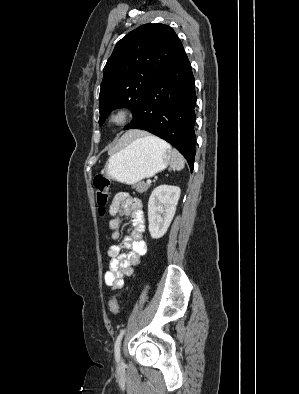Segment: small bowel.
Instances as JSON below:
<instances>
[{"label": "small bowel", "instance_id": "obj_1", "mask_svg": "<svg viewBox=\"0 0 299 394\" xmlns=\"http://www.w3.org/2000/svg\"><path fill=\"white\" fill-rule=\"evenodd\" d=\"M109 213L111 219L108 227L113 240L121 237L122 217H130V234L125 236L120 244H113L107 249L110 263L109 270L105 274V283L113 288H120L124 278L132 275L133 268L140 263L147 252L142 202L128 192H119L112 200ZM122 249L127 252L122 253Z\"/></svg>", "mask_w": 299, "mask_h": 394}]
</instances>
